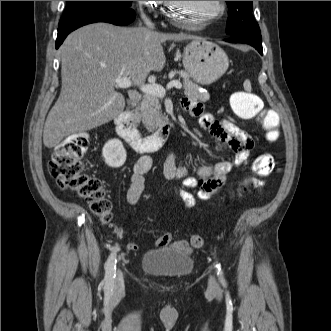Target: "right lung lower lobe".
<instances>
[{
  "mask_svg": "<svg viewBox=\"0 0 331 331\" xmlns=\"http://www.w3.org/2000/svg\"><path fill=\"white\" fill-rule=\"evenodd\" d=\"M134 19L135 12L131 8L99 12L93 15L79 18L69 24L60 26L58 28L56 48H58L62 44V42L70 32L81 26L95 22H107L118 26H125L130 24Z\"/></svg>",
  "mask_w": 331,
  "mask_h": 331,
  "instance_id": "1",
  "label": "right lung lower lobe"
}]
</instances>
